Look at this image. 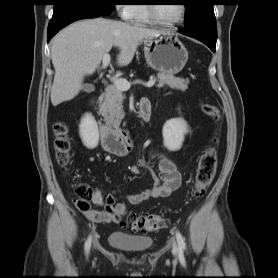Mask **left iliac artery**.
<instances>
[{
  "label": "left iliac artery",
  "mask_w": 278,
  "mask_h": 278,
  "mask_svg": "<svg viewBox=\"0 0 278 278\" xmlns=\"http://www.w3.org/2000/svg\"><path fill=\"white\" fill-rule=\"evenodd\" d=\"M176 239L178 242L179 250H180V252H182L185 249V241L179 231L176 232Z\"/></svg>",
  "instance_id": "1"
}]
</instances>
